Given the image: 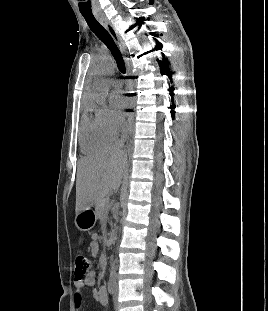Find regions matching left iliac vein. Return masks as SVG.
<instances>
[{"instance_id":"4c4485c4","label":"left iliac vein","mask_w":268,"mask_h":311,"mask_svg":"<svg viewBox=\"0 0 268 311\" xmlns=\"http://www.w3.org/2000/svg\"><path fill=\"white\" fill-rule=\"evenodd\" d=\"M113 301H114L115 311H118L119 310V306H118V286H117L116 282H115Z\"/></svg>"}]
</instances>
